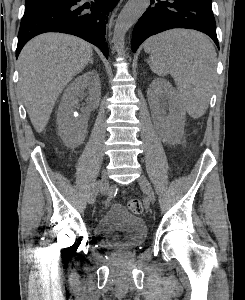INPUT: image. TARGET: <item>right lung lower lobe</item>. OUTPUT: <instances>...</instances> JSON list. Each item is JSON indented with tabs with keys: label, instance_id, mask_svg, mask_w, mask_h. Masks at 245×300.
<instances>
[{
	"label": "right lung lower lobe",
	"instance_id": "obj_1",
	"mask_svg": "<svg viewBox=\"0 0 245 300\" xmlns=\"http://www.w3.org/2000/svg\"><path fill=\"white\" fill-rule=\"evenodd\" d=\"M118 0H55L25 10L18 33L16 56L34 36L45 32L72 34L96 45L108 58L105 23Z\"/></svg>",
	"mask_w": 245,
	"mask_h": 300
}]
</instances>
